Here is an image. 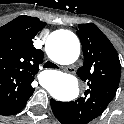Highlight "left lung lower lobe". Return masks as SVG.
I'll list each match as a JSON object with an SVG mask.
<instances>
[{"label":"left lung lower lobe","mask_w":124,"mask_h":124,"mask_svg":"<svg viewBox=\"0 0 124 124\" xmlns=\"http://www.w3.org/2000/svg\"><path fill=\"white\" fill-rule=\"evenodd\" d=\"M51 108L54 116L60 121L62 124H70L67 120L64 110V103L55 101L51 99Z\"/></svg>","instance_id":"1"}]
</instances>
